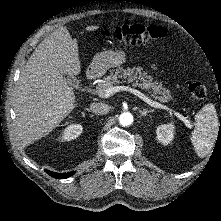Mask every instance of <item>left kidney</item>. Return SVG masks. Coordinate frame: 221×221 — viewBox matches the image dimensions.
Wrapping results in <instances>:
<instances>
[{"mask_svg":"<svg viewBox=\"0 0 221 221\" xmlns=\"http://www.w3.org/2000/svg\"><path fill=\"white\" fill-rule=\"evenodd\" d=\"M157 139L159 142L167 145L174 138V125L172 123L160 125L157 130Z\"/></svg>","mask_w":221,"mask_h":221,"instance_id":"left-kidney-1","label":"left kidney"}]
</instances>
